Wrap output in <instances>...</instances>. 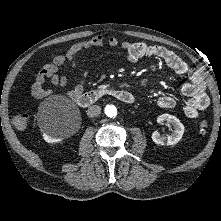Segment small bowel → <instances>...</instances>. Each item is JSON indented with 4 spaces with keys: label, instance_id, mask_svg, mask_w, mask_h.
<instances>
[{
    "label": "small bowel",
    "instance_id": "small-bowel-1",
    "mask_svg": "<svg viewBox=\"0 0 221 221\" xmlns=\"http://www.w3.org/2000/svg\"><path fill=\"white\" fill-rule=\"evenodd\" d=\"M105 44L124 50L129 62L135 63L145 57H156L163 60L175 73L186 76L188 82L183 84L182 93L186 98L184 113L187 117L195 119L201 111L208 107L210 100L202 76L198 70L190 67L176 53L160 45L121 41L116 37L105 38L100 35L73 44L64 54L56 55L52 62L45 64L38 72L32 85L33 96L37 99H43L54 92L53 88L44 87L47 79L50 80L53 87H65L67 78L60 74V67L66 62H70L72 67H76L78 54ZM86 77L87 73H84L82 80L67 92L70 98L76 99L83 92ZM157 103L164 109H170L176 105L175 99L169 95L159 97Z\"/></svg>",
    "mask_w": 221,
    "mask_h": 221
}]
</instances>
